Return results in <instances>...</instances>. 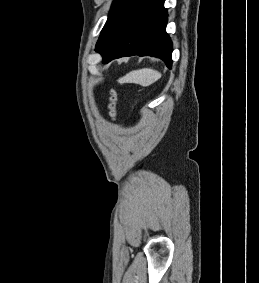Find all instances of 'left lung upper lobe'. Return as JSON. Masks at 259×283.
I'll use <instances>...</instances> for the list:
<instances>
[{"label":"left lung upper lobe","instance_id":"left-lung-upper-lobe-1","mask_svg":"<svg viewBox=\"0 0 259 283\" xmlns=\"http://www.w3.org/2000/svg\"><path fill=\"white\" fill-rule=\"evenodd\" d=\"M124 0H114L113 4H112V7H111V10H110V13L108 15V19H107V22L105 23L103 29H102V32L104 30V28L106 27V25L108 24V22L111 20V18L114 16V14L116 13L117 9L119 8V6L123 3ZM101 32V33H102Z\"/></svg>","mask_w":259,"mask_h":283}]
</instances>
